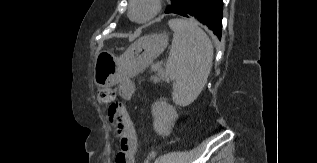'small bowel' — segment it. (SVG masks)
Here are the masks:
<instances>
[{"label": "small bowel", "mask_w": 317, "mask_h": 163, "mask_svg": "<svg viewBox=\"0 0 317 163\" xmlns=\"http://www.w3.org/2000/svg\"><path fill=\"white\" fill-rule=\"evenodd\" d=\"M118 86L124 99L131 98L135 90L134 83L131 80L121 79ZM117 134L119 137V151L115 156V163H134L137 139L133 126L128 119L125 122L124 130L120 133L117 132Z\"/></svg>", "instance_id": "1"}]
</instances>
